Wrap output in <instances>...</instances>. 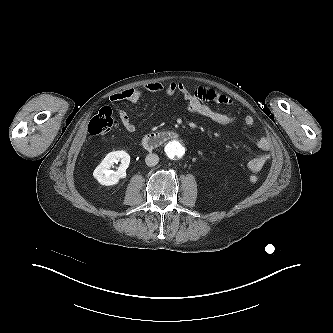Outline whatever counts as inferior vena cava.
I'll list each match as a JSON object with an SVG mask.
<instances>
[{
	"label": "inferior vena cava",
	"mask_w": 333,
	"mask_h": 333,
	"mask_svg": "<svg viewBox=\"0 0 333 333\" xmlns=\"http://www.w3.org/2000/svg\"><path fill=\"white\" fill-rule=\"evenodd\" d=\"M145 162L149 167L155 166L159 162V157L157 154H148L145 158Z\"/></svg>",
	"instance_id": "602c4592"
}]
</instances>
